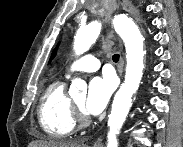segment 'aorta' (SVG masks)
<instances>
[{
	"label": "aorta",
	"instance_id": "762f6f07",
	"mask_svg": "<svg viewBox=\"0 0 183 147\" xmlns=\"http://www.w3.org/2000/svg\"><path fill=\"white\" fill-rule=\"evenodd\" d=\"M115 31L120 35L126 48V74L125 80L116 92L111 113L108 120L107 147H118L117 135L126 120L132 106V97L137 92L144 68L143 36L132 19L123 14L114 15L111 18ZM102 28V22L95 20L80 27L74 38V50L76 55L88 51L95 43ZM86 83L80 79L72 80L69 94L76 95L79 91H86Z\"/></svg>",
	"mask_w": 183,
	"mask_h": 147
}]
</instances>
